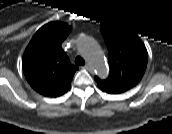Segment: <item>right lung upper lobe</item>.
Returning <instances> with one entry per match:
<instances>
[{
    "instance_id": "1",
    "label": "right lung upper lobe",
    "mask_w": 172,
    "mask_h": 134,
    "mask_svg": "<svg viewBox=\"0 0 172 134\" xmlns=\"http://www.w3.org/2000/svg\"><path fill=\"white\" fill-rule=\"evenodd\" d=\"M70 30L69 26L58 22L44 25L23 54L24 75L30 86L44 96L58 97L66 93L78 70L61 48Z\"/></svg>"
}]
</instances>
